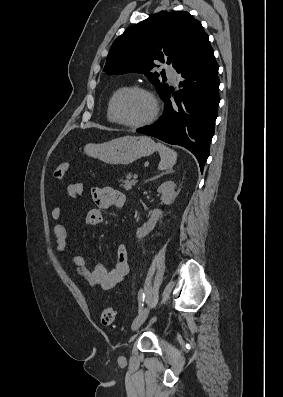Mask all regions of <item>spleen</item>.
Instances as JSON below:
<instances>
[{
	"instance_id": "3e777b00",
	"label": "spleen",
	"mask_w": 283,
	"mask_h": 397,
	"mask_svg": "<svg viewBox=\"0 0 283 397\" xmlns=\"http://www.w3.org/2000/svg\"><path fill=\"white\" fill-rule=\"evenodd\" d=\"M158 151L161 157V161L159 162L158 169L159 170H166L171 169L176 161H177V152L170 149L169 147L158 143Z\"/></svg>"
}]
</instances>
